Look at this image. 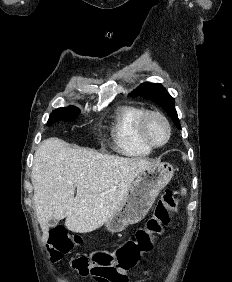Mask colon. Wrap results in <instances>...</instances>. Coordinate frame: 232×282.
I'll return each mask as SVG.
<instances>
[{
    "instance_id": "1",
    "label": "colon",
    "mask_w": 232,
    "mask_h": 282,
    "mask_svg": "<svg viewBox=\"0 0 232 282\" xmlns=\"http://www.w3.org/2000/svg\"><path fill=\"white\" fill-rule=\"evenodd\" d=\"M177 206L175 192L171 188H166L153 216L135 232L132 238L125 240L113 251L98 250L74 258L70 263L71 269L77 277L100 278L111 275L116 268L123 270L134 268L145 254L153 251L155 239L164 232ZM78 243L79 238L72 237L65 228L58 226L51 229L48 249L50 261H59Z\"/></svg>"
}]
</instances>
